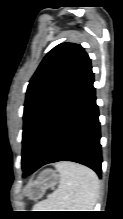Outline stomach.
<instances>
[{
	"mask_svg": "<svg viewBox=\"0 0 123 219\" xmlns=\"http://www.w3.org/2000/svg\"><path fill=\"white\" fill-rule=\"evenodd\" d=\"M60 182V175L52 169L43 170L32 183L29 192L33 200L40 199L48 188H54Z\"/></svg>",
	"mask_w": 123,
	"mask_h": 219,
	"instance_id": "1",
	"label": "stomach"
}]
</instances>
